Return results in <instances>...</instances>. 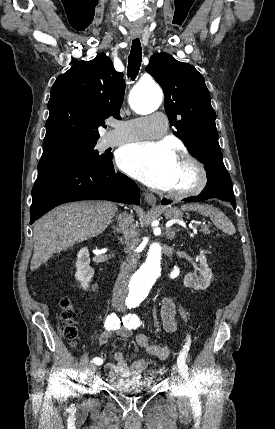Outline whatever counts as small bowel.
Listing matches in <instances>:
<instances>
[{"label": "small bowel", "mask_w": 275, "mask_h": 429, "mask_svg": "<svg viewBox=\"0 0 275 429\" xmlns=\"http://www.w3.org/2000/svg\"><path fill=\"white\" fill-rule=\"evenodd\" d=\"M160 314L163 321V326L166 332H174L177 328V310L173 300L165 297L162 300ZM179 315L183 318L184 312L179 311ZM121 337H130L132 330L126 327H120L114 331H105L99 336V344L105 345L113 335ZM137 344L147 354L149 358L165 360L169 356V349L161 344L152 343L144 334H139L136 338ZM115 362L105 365V372L109 378L121 376L124 378H137L146 368L150 360L139 359L129 365L122 352L115 353Z\"/></svg>", "instance_id": "1"}]
</instances>
